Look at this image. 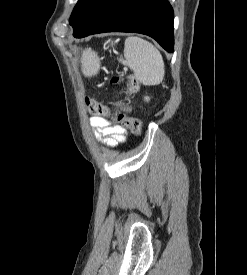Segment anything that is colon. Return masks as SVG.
<instances>
[{
  "instance_id": "5ec220e1",
  "label": "colon",
  "mask_w": 247,
  "mask_h": 275,
  "mask_svg": "<svg viewBox=\"0 0 247 275\" xmlns=\"http://www.w3.org/2000/svg\"><path fill=\"white\" fill-rule=\"evenodd\" d=\"M119 77L114 76L111 79L112 83H118ZM125 89L128 94H134L139 89V82L133 76H128L125 83ZM86 106L89 112L93 115H109L108 109L100 102L92 98L85 99ZM130 110L129 106H122L121 110L115 114L114 120L122 127H125L132 131L134 134L141 133V123L138 119L128 115Z\"/></svg>"
}]
</instances>
